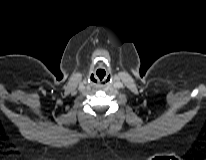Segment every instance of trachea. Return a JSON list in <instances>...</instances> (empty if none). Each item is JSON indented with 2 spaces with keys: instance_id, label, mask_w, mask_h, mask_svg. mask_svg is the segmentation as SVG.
Returning a JSON list of instances; mask_svg holds the SVG:
<instances>
[{
  "instance_id": "trachea-1",
  "label": "trachea",
  "mask_w": 206,
  "mask_h": 160,
  "mask_svg": "<svg viewBox=\"0 0 206 160\" xmlns=\"http://www.w3.org/2000/svg\"><path fill=\"white\" fill-rule=\"evenodd\" d=\"M96 74H97V76H98L100 82L103 83L102 80H103V78H104L106 72H105L104 74H100V73H97V72H96ZM93 80H94V78H93ZM95 82H97V80H95Z\"/></svg>"
}]
</instances>
